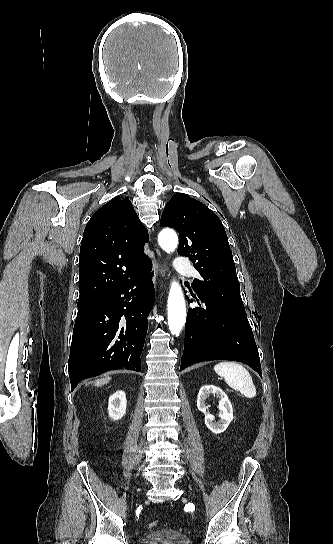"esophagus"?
<instances>
[{
    "label": "esophagus",
    "mask_w": 333,
    "mask_h": 544,
    "mask_svg": "<svg viewBox=\"0 0 333 544\" xmlns=\"http://www.w3.org/2000/svg\"><path fill=\"white\" fill-rule=\"evenodd\" d=\"M165 271L166 269L164 265L155 259L153 261V265L151 269V275L155 285L157 284L158 278L165 275Z\"/></svg>",
    "instance_id": "esophagus-1"
}]
</instances>
